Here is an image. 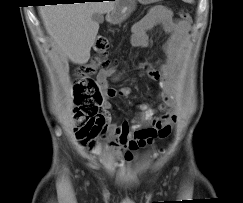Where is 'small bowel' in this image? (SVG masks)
I'll use <instances>...</instances> for the list:
<instances>
[{
  "instance_id": "1",
  "label": "small bowel",
  "mask_w": 243,
  "mask_h": 203,
  "mask_svg": "<svg viewBox=\"0 0 243 203\" xmlns=\"http://www.w3.org/2000/svg\"><path fill=\"white\" fill-rule=\"evenodd\" d=\"M161 26L168 39L163 46L164 58L157 68H146L149 78L159 83L160 117H155V110L148 104L137 106V117L132 125L124 120L121 123L111 121L109 110L112 105L110 98L129 97L128 87L113 88L108 82L112 78L119 81L122 74L114 67L101 70L97 75V83L103 95L99 110L95 116L91 130L89 145L95 150L99 146L94 141L98 136L108 139V146L115 149L118 156L130 160L132 153L146 147L157 138L169 136L177 120L175 112L176 73L187 42L190 24L173 18L172 12L163 6H155L137 21L132 28L130 43L133 47H144L148 44L149 29Z\"/></svg>"
}]
</instances>
